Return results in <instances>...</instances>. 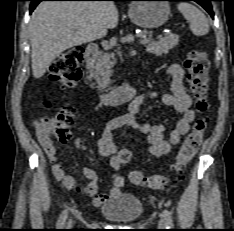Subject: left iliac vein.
<instances>
[{
	"label": "left iliac vein",
	"instance_id": "left-iliac-vein-1",
	"mask_svg": "<svg viewBox=\"0 0 234 231\" xmlns=\"http://www.w3.org/2000/svg\"><path fill=\"white\" fill-rule=\"evenodd\" d=\"M159 227L160 228H166L167 227V222L164 217H162L159 221Z\"/></svg>",
	"mask_w": 234,
	"mask_h": 231
}]
</instances>
